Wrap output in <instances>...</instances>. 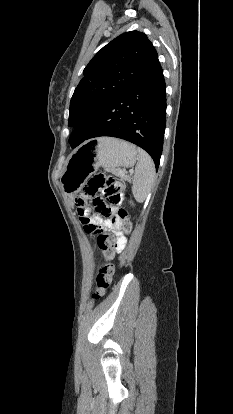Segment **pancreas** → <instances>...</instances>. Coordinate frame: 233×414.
<instances>
[{
  "label": "pancreas",
  "mask_w": 233,
  "mask_h": 414,
  "mask_svg": "<svg viewBox=\"0 0 233 414\" xmlns=\"http://www.w3.org/2000/svg\"><path fill=\"white\" fill-rule=\"evenodd\" d=\"M117 176L121 177L124 180H129V178L124 174V172H121L120 170H117L114 172Z\"/></svg>",
  "instance_id": "pancreas-1"
}]
</instances>
